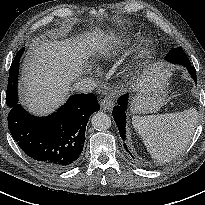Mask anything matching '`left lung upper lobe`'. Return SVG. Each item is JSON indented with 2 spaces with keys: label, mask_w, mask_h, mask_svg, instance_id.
Instances as JSON below:
<instances>
[{
  "label": "left lung upper lobe",
  "mask_w": 205,
  "mask_h": 205,
  "mask_svg": "<svg viewBox=\"0 0 205 205\" xmlns=\"http://www.w3.org/2000/svg\"><path fill=\"white\" fill-rule=\"evenodd\" d=\"M165 59L169 62L180 65L191 64L187 55L181 47L171 49Z\"/></svg>",
  "instance_id": "left-lung-upper-lobe-1"
}]
</instances>
